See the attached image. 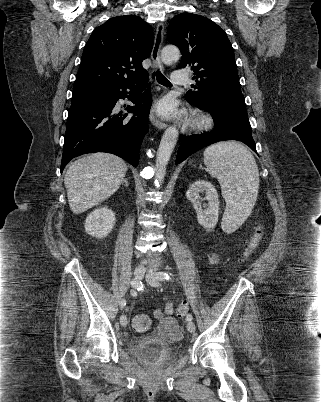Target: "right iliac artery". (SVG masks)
I'll return each mask as SVG.
<instances>
[{
  "label": "right iliac artery",
  "mask_w": 321,
  "mask_h": 402,
  "mask_svg": "<svg viewBox=\"0 0 321 402\" xmlns=\"http://www.w3.org/2000/svg\"><path fill=\"white\" fill-rule=\"evenodd\" d=\"M131 285H132V287L134 288V289L131 291V294H132V295H136V293H137L136 290H137V291L142 290V285H141V282H139V281L133 280V281L131 282ZM125 305H126V300H125V299H122V300L120 301V306H121V308H124Z\"/></svg>",
  "instance_id": "82829eb1"
}]
</instances>
